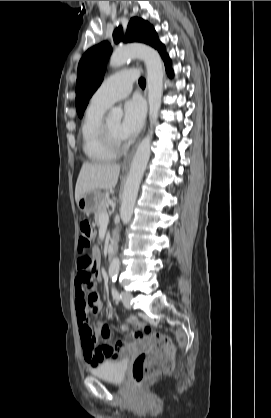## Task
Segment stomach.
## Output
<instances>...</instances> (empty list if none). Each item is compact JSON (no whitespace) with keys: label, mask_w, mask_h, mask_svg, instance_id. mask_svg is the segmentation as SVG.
I'll return each mask as SVG.
<instances>
[{"label":"stomach","mask_w":271,"mask_h":418,"mask_svg":"<svg viewBox=\"0 0 271 418\" xmlns=\"http://www.w3.org/2000/svg\"><path fill=\"white\" fill-rule=\"evenodd\" d=\"M100 191H91L83 195L77 202V206L85 214L94 213L102 199Z\"/></svg>","instance_id":"1"}]
</instances>
